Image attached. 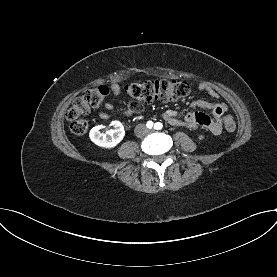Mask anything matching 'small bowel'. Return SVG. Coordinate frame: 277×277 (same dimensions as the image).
Masks as SVG:
<instances>
[{
	"label": "small bowel",
	"instance_id": "small-bowel-1",
	"mask_svg": "<svg viewBox=\"0 0 277 277\" xmlns=\"http://www.w3.org/2000/svg\"><path fill=\"white\" fill-rule=\"evenodd\" d=\"M198 88L215 99L219 98V93L207 83H200ZM110 89L114 95H119L121 93V87L117 83H112ZM104 105L109 111L115 109V106L111 102H105ZM190 105L192 108H201L211 111L215 119L210 118L205 113L197 111L188 112L181 118V114L177 110H166L162 113V117L172 125H183L192 129L203 127L214 135H218L222 132V117L228 110L225 103L200 99L192 101ZM142 110L143 106L139 102L133 101L128 104L126 109L121 111V114L133 116L142 112ZM99 116L102 119H110V115L103 111L99 112Z\"/></svg>",
	"mask_w": 277,
	"mask_h": 277
}]
</instances>
